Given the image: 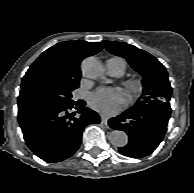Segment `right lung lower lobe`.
Here are the masks:
<instances>
[{
    "label": "right lung lower lobe",
    "mask_w": 194,
    "mask_h": 193,
    "mask_svg": "<svg viewBox=\"0 0 194 193\" xmlns=\"http://www.w3.org/2000/svg\"><path fill=\"white\" fill-rule=\"evenodd\" d=\"M76 110L81 115L74 117ZM19 125L27 146L46 162H59L80 147L85 126L99 123L97 113L76 103L70 107L20 108Z\"/></svg>",
    "instance_id": "1"
}]
</instances>
